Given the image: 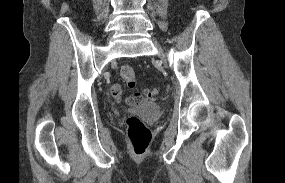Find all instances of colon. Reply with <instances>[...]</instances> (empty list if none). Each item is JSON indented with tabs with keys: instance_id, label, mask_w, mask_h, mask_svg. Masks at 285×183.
Here are the masks:
<instances>
[{
	"instance_id": "5ec220e1",
	"label": "colon",
	"mask_w": 285,
	"mask_h": 183,
	"mask_svg": "<svg viewBox=\"0 0 285 183\" xmlns=\"http://www.w3.org/2000/svg\"><path fill=\"white\" fill-rule=\"evenodd\" d=\"M121 77L128 83L130 87H134L136 74L131 65H123L120 70ZM158 88L146 89L141 93H137L128 99L129 103H137L142 98L154 99L159 95ZM128 138L131 148L136 155L144 154L151 141L150 129L137 117H129L126 121Z\"/></svg>"
}]
</instances>
